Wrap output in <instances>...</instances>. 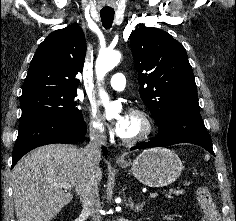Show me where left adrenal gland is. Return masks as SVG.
I'll list each match as a JSON object with an SVG mask.
<instances>
[{"label": "left adrenal gland", "instance_id": "1", "mask_svg": "<svg viewBox=\"0 0 236 221\" xmlns=\"http://www.w3.org/2000/svg\"><path fill=\"white\" fill-rule=\"evenodd\" d=\"M128 203H129V206L132 210H134L135 212H139L143 209V206H144V203H139V204H135L133 201H132V198L129 197L128 199Z\"/></svg>", "mask_w": 236, "mask_h": 221}]
</instances>
